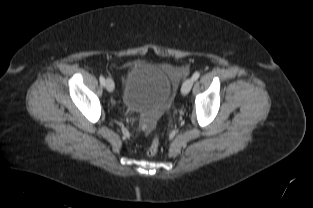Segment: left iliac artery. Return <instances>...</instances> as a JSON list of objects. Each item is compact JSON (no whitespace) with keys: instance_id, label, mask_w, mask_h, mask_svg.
<instances>
[{"instance_id":"left-iliac-artery-1","label":"left iliac artery","mask_w":313,"mask_h":208,"mask_svg":"<svg viewBox=\"0 0 313 208\" xmlns=\"http://www.w3.org/2000/svg\"><path fill=\"white\" fill-rule=\"evenodd\" d=\"M199 76H200V73H199V72H195V73L192 75V79H193L194 81H196V80L199 78Z\"/></svg>"}]
</instances>
